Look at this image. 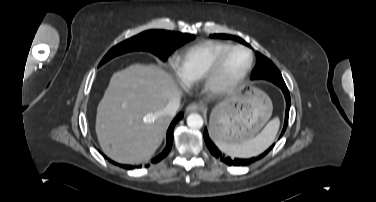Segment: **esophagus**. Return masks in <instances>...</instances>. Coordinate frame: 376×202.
<instances>
[{
  "instance_id": "obj_1",
  "label": "esophagus",
  "mask_w": 376,
  "mask_h": 202,
  "mask_svg": "<svg viewBox=\"0 0 376 202\" xmlns=\"http://www.w3.org/2000/svg\"><path fill=\"white\" fill-rule=\"evenodd\" d=\"M201 110V106L196 104V103H191L187 106L186 112L191 113V112H197Z\"/></svg>"
}]
</instances>
